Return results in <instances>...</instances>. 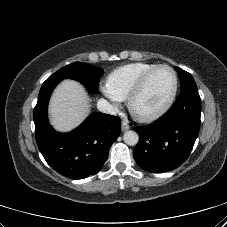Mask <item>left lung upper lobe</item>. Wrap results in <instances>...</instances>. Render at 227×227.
Returning <instances> with one entry per match:
<instances>
[{
	"label": "left lung upper lobe",
	"mask_w": 227,
	"mask_h": 227,
	"mask_svg": "<svg viewBox=\"0 0 227 227\" xmlns=\"http://www.w3.org/2000/svg\"><path fill=\"white\" fill-rule=\"evenodd\" d=\"M176 71L180 78L181 90H184L191 86H196V83L190 73L178 67H176Z\"/></svg>",
	"instance_id": "5c2ea615"
}]
</instances>
